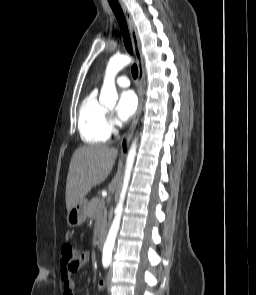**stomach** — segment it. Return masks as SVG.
Masks as SVG:
<instances>
[{
    "label": "stomach",
    "mask_w": 256,
    "mask_h": 295,
    "mask_svg": "<svg viewBox=\"0 0 256 295\" xmlns=\"http://www.w3.org/2000/svg\"><path fill=\"white\" fill-rule=\"evenodd\" d=\"M87 207L88 201L83 199L68 211L66 217L68 227L75 228L85 222L87 218Z\"/></svg>",
    "instance_id": "obj_1"
}]
</instances>
